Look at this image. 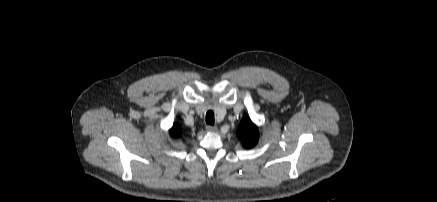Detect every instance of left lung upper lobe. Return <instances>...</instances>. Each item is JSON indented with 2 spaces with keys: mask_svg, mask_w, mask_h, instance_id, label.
Returning <instances> with one entry per match:
<instances>
[{
  "mask_svg": "<svg viewBox=\"0 0 437 202\" xmlns=\"http://www.w3.org/2000/svg\"><path fill=\"white\" fill-rule=\"evenodd\" d=\"M238 136L243 146L252 148L258 141L259 133L256 125L249 118H245L238 129Z\"/></svg>",
  "mask_w": 437,
  "mask_h": 202,
  "instance_id": "left-lung-upper-lobe-1",
  "label": "left lung upper lobe"
}]
</instances>
